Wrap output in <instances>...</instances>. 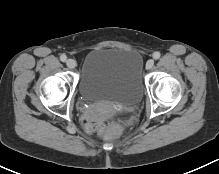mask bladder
<instances>
[{
	"label": "bladder",
	"mask_w": 219,
	"mask_h": 174,
	"mask_svg": "<svg viewBox=\"0 0 219 174\" xmlns=\"http://www.w3.org/2000/svg\"><path fill=\"white\" fill-rule=\"evenodd\" d=\"M142 57L131 48H97L82 63L78 91L88 102L137 105L143 94Z\"/></svg>",
	"instance_id": "1"
}]
</instances>
